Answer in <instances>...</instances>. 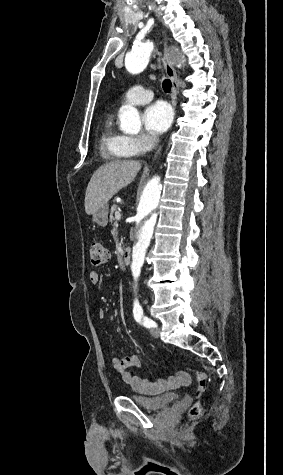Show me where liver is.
Instances as JSON below:
<instances>
[{
    "label": "liver",
    "mask_w": 283,
    "mask_h": 475,
    "mask_svg": "<svg viewBox=\"0 0 283 475\" xmlns=\"http://www.w3.org/2000/svg\"><path fill=\"white\" fill-rule=\"evenodd\" d=\"M141 170L136 160H117L100 166L94 172L85 194V212L95 214L105 206L119 190L128 186Z\"/></svg>",
    "instance_id": "6515ba94"
}]
</instances>
